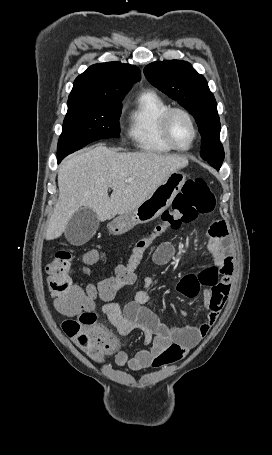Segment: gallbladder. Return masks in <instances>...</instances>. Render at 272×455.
I'll return each instance as SVG.
<instances>
[{"instance_id":"obj_1","label":"gallbladder","mask_w":272,"mask_h":455,"mask_svg":"<svg viewBox=\"0 0 272 455\" xmlns=\"http://www.w3.org/2000/svg\"><path fill=\"white\" fill-rule=\"evenodd\" d=\"M99 220L96 213L87 207L80 208L69 220L65 237L73 245H82L96 233Z\"/></svg>"}]
</instances>
